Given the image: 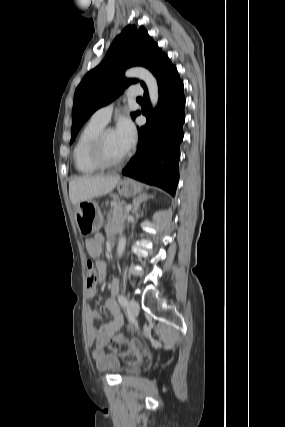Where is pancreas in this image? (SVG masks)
<instances>
[{
  "mask_svg": "<svg viewBox=\"0 0 285 427\" xmlns=\"http://www.w3.org/2000/svg\"><path fill=\"white\" fill-rule=\"evenodd\" d=\"M125 207L126 206L124 202L111 205V216L109 218V222L110 223L123 222L126 219L129 212L128 210H126Z\"/></svg>",
  "mask_w": 285,
  "mask_h": 427,
  "instance_id": "obj_1",
  "label": "pancreas"
}]
</instances>
